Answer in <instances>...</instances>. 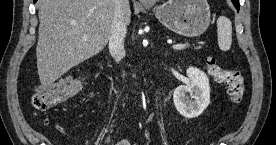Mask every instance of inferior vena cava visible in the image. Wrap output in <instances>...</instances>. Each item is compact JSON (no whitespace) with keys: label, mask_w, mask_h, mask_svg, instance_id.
I'll list each match as a JSON object with an SVG mask.
<instances>
[{"label":"inferior vena cava","mask_w":276,"mask_h":145,"mask_svg":"<svg viewBox=\"0 0 276 145\" xmlns=\"http://www.w3.org/2000/svg\"><path fill=\"white\" fill-rule=\"evenodd\" d=\"M129 7L128 0H114V16L112 20L109 52L117 63L125 57L124 39L127 27L124 19V10Z\"/></svg>","instance_id":"602c4592"}]
</instances>
